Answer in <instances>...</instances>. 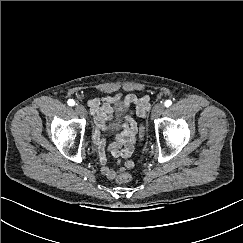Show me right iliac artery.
I'll list each match as a JSON object with an SVG mask.
<instances>
[{
    "instance_id": "1",
    "label": "right iliac artery",
    "mask_w": 243,
    "mask_h": 243,
    "mask_svg": "<svg viewBox=\"0 0 243 243\" xmlns=\"http://www.w3.org/2000/svg\"><path fill=\"white\" fill-rule=\"evenodd\" d=\"M67 103H68L69 106H74L75 105V102L72 99H69Z\"/></svg>"
}]
</instances>
